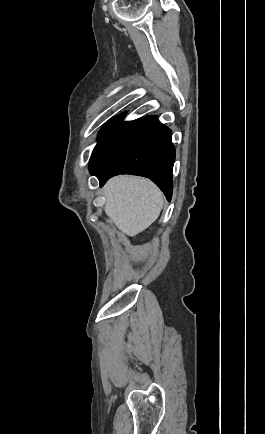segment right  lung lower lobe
Masks as SVG:
<instances>
[{
	"mask_svg": "<svg viewBox=\"0 0 265 434\" xmlns=\"http://www.w3.org/2000/svg\"><path fill=\"white\" fill-rule=\"evenodd\" d=\"M120 115L101 133L90 159V173L100 186L112 176L133 174L150 178L172 197V170L175 149L171 131L156 116L124 122Z\"/></svg>",
	"mask_w": 265,
	"mask_h": 434,
	"instance_id": "right-lung-lower-lobe-1",
	"label": "right lung lower lobe"
}]
</instances>
